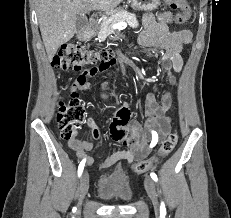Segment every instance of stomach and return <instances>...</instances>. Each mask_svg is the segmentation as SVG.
<instances>
[{
  "label": "stomach",
  "mask_w": 231,
  "mask_h": 218,
  "mask_svg": "<svg viewBox=\"0 0 231 218\" xmlns=\"http://www.w3.org/2000/svg\"><path fill=\"white\" fill-rule=\"evenodd\" d=\"M134 9L152 11L158 7L160 0H130Z\"/></svg>",
  "instance_id": "stomach-1"
}]
</instances>
